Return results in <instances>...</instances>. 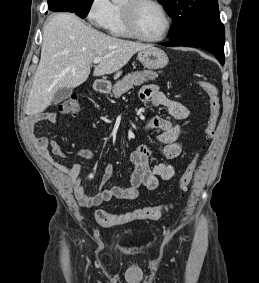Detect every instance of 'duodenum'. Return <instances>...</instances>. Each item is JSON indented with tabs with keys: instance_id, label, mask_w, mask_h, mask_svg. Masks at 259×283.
<instances>
[{
	"instance_id": "410a0bca",
	"label": "duodenum",
	"mask_w": 259,
	"mask_h": 283,
	"mask_svg": "<svg viewBox=\"0 0 259 283\" xmlns=\"http://www.w3.org/2000/svg\"><path fill=\"white\" fill-rule=\"evenodd\" d=\"M94 88L98 93H106L109 90V85L103 80H97L94 84Z\"/></svg>"
}]
</instances>
